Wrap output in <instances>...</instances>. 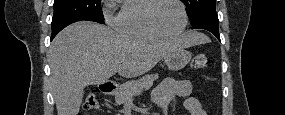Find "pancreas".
Here are the masks:
<instances>
[{"instance_id": "obj_1", "label": "pancreas", "mask_w": 285, "mask_h": 115, "mask_svg": "<svg viewBox=\"0 0 285 115\" xmlns=\"http://www.w3.org/2000/svg\"><path fill=\"white\" fill-rule=\"evenodd\" d=\"M158 77V74H148L137 80L128 81L122 84L115 93L116 103L124 104L129 98H132V96L139 94L143 90L149 89Z\"/></svg>"}]
</instances>
